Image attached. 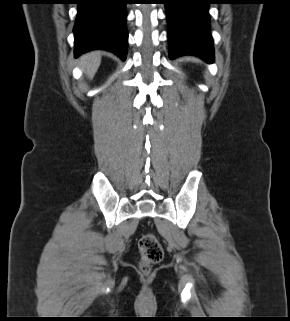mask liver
Instances as JSON below:
<instances>
[{
  "mask_svg": "<svg viewBox=\"0 0 290 321\" xmlns=\"http://www.w3.org/2000/svg\"><path fill=\"white\" fill-rule=\"evenodd\" d=\"M101 63L99 52H90L80 58V66L85 70L89 78H93Z\"/></svg>",
  "mask_w": 290,
  "mask_h": 321,
  "instance_id": "6515ba94",
  "label": "liver"
}]
</instances>
